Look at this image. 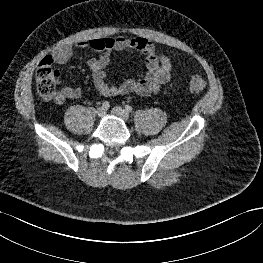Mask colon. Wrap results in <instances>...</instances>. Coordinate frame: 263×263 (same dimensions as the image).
Wrapping results in <instances>:
<instances>
[{
    "instance_id": "1",
    "label": "colon",
    "mask_w": 263,
    "mask_h": 263,
    "mask_svg": "<svg viewBox=\"0 0 263 263\" xmlns=\"http://www.w3.org/2000/svg\"><path fill=\"white\" fill-rule=\"evenodd\" d=\"M36 87L39 95L45 99L56 96V86L59 80V72L53 67V60L46 56L39 63L35 74ZM205 88V81L202 77L194 75L189 80V89L193 93H198Z\"/></svg>"
}]
</instances>
